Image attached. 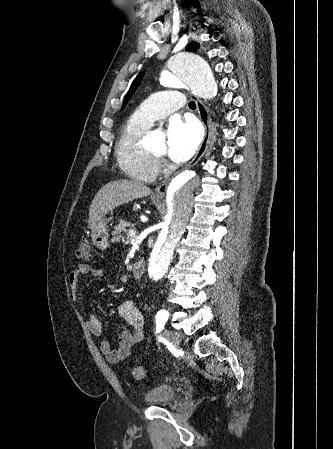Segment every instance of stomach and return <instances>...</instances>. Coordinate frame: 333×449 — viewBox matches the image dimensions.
<instances>
[{"instance_id": "0dacf381", "label": "stomach", "mask_w": 333, "mask_h": 449, "mask_svg": "<svg viewBox=\"0 0 333 449\" xmlns=\"http://www.w3.org/2000/svg\"><path fill=\"white\" fill-rule=\"evenodd\" d=\"M91 237L93 244L99 250H105L109 246V233L107 223L104 218L99 220L96 225L91 228Z\"/></svg>"}]
</instances>
